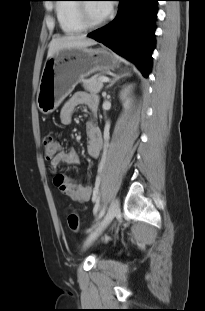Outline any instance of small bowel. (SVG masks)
Returning a JSON list of instances; mask_svg holds the SVG:
<instances>
[{
    "label": "small bowel",
    "mask_w": 205,
    "mask_h": 311,
    "mask_svg": "<svg viewBox=\"0 0 205 311\" xmlns=\"http://www.w3.org/2000/svg\"><path fill=\"white\" fill-rule=\"evenodd\" d=\"M86 105L93 113L98 110L99 103L95 95L79 91L76 92L62 107L60 112V121L64 125L73 122L74 113L78 106ZM87 153L92 158H97L102 149V136L99 126L89 121L87 123ZM78 163V156L74 149L70 148L59 152L50 161V171L53 174L54 186L69 199L74 202H86L92 194V186L90 184H82L76 182L69 176L58 173L57 169L61 165L72 166Z\"/></svg>",
    "instance_id": "obj_1"
}]
</instances>
